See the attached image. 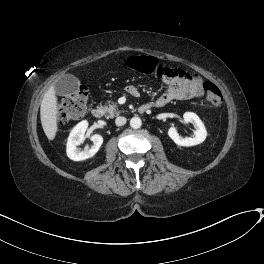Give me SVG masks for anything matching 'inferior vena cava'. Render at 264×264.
I'll return each instance as SVG.
<instances>
[{
	"label": "inferior vena cava",
	"instance_id": "602c4592",
	"mask_svg": "<svg viewBox=\"0 0 264 264\" xmlns=\"http://www.w3.org/2000/svg\"><path fill=\"white\" fill-rule=\"evenodd\" d=\"M126 118L125 117H123V116H119V117H117L116 119H115V124L117 125V126H122V125H124L125 123H126Z\"/></svg>",
	"mask_w": 264,
	"mask_h": 264
}]
</instances>
